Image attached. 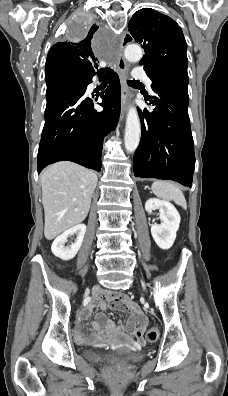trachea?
I'll return each mask as SVG.
<instances>
[{"label":"trachea","instance_id":"3493384b","mask_svg":"<svg viewBox=\"0 0 228 396\" xmlns=\"http://www.w3.org/2000/svg\"><path fill=\"white\" fill-rule=\"evenodd\" d=\"M127 83H128L129 85H132V84L139 83V81H137V80H128Z\"/></svg>","mask_w":228,"mask_h":396}]
</instances>
